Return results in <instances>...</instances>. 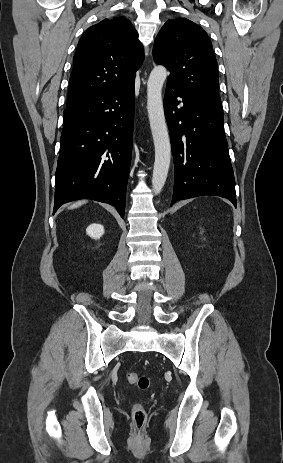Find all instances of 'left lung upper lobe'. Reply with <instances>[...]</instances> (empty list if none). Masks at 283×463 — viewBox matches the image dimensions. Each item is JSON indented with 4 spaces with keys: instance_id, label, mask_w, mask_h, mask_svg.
Masks as SVG:
<instances>
[{
    "instance_id": "left-lung-upper-lobe-1",
    "label": "left lung upper lobe",
    "mask_w": 283,
    "mask_h": 463,
    "mask_svg": "<svg viewBox=\"0 0 283 463\" xmlns=\"http://www.w3.org/2000/svg\"><path fill=\"white\" fill-rule=\"evenodd\" d=\"M153 58L170 71L168 81L223 114L217 60L202 27L186 18L168 20L155 39Z\"/></svg>"
}]
</instances>
